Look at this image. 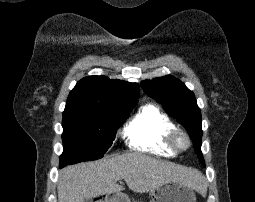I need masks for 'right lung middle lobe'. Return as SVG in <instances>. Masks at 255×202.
<instances>
[{"label":"right lung middle lobe","mask_w":255,"mask_h":202,"mask_svg":"<svg viewBox=\"0 0 255 202\" xmlns=\"http://www.w3.org/2000/svg\"><path fill=\"white\" fill-rule=\"evenodd\" d=\"M133 108L63 116L64 151L60 167L103 157L112 145L118 127Z\"/></svg>","instance_id":"obj_1"}]
</instances>
